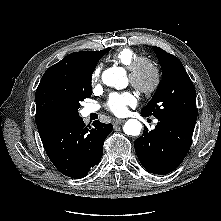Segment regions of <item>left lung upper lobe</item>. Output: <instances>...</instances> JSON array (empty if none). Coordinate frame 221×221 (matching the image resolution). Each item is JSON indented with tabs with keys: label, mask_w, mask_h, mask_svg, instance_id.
Instances as JSON below:
<instances>
[{
	"label": "left lung upper lobe",
	"mask_w": 221,
	"mask_h": 221,
	"mask_svg": "<svg viewBox=\"0 0 221 221\" xmlns=\"http://www.w3.org/2000/svg\"><path fill=\"white\" fill-rule=\"evenodd\" d=\"M162 67L163 79L141 115H153L166 125L194 129L197 119L196 92L181 61L153 46Z\"/></svg>",
	"instance_id": "obj_1"
}]
</instances>
